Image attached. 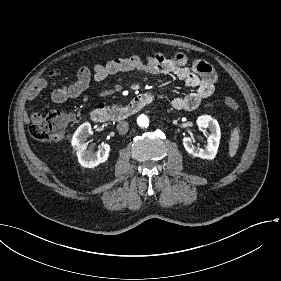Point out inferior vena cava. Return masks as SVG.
<instances>
[{
	"label": "inferior vena cava",
	"instance_id": "obj_1",
	"mask_svg": "<svg viewBox=\"0 0 281 281\" xmlns=\"http://www.w3.org/2000/svg\"><path fill=\"white\" fill-rule=\"evenodd\" d=\"M116 128H117L119 134L124 135L127 133L128 129H129L128 122L121 121L117 124Z\"/></svg>",
	"mask_w": 281,
	"mask_h": 281
}]
</instances>
